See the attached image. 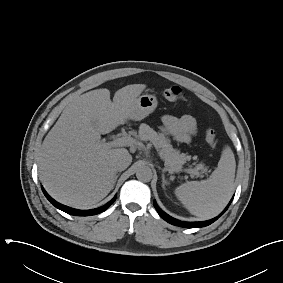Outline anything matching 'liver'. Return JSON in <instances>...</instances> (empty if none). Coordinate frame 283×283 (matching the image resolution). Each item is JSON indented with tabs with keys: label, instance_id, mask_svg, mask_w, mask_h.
Wrapping results in <instances>:
<instances>
[{
	"label": "liver",
	"instance_id": "obj_1",
	"mask_svg": "<svg viewBox=\"0 0 283 283\" xmlns=\"http://www.w3.org/2000/svg\"><path fill=\"white\" fill-rule=\"evenodd\" d=\"M145 88L127 85L115 93L113 102L108 89L92 90L69 102L45 137L39 158L41 181L55 200L87 207L113 189L114 160L128 151L101 143V134L130 119L131 105Z\"/></svg>",
	"mask_w": 283,
	"mask_h": 283
}]
</instances>
